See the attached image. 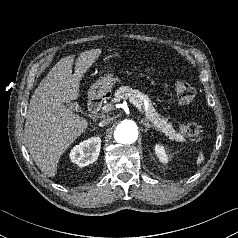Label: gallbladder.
<instances>
[{
	"label": "gallbladder",
	"instance_id": "obj_1",
	"mask_svg": "<svg viewBox=\"0 0 238 238\" xmlns=\"http://www.w3.org/2000/svg\"><path fill=\"white\" fill-rule=\"evenodd\" d=\"M65 105L71 110H77L78 106L73 102H66Z\"/></svg>",
	"mask_w": 238,
	"mask_h": 238
}]
</instances>
